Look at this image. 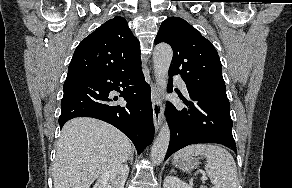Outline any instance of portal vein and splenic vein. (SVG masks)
Here are the masks:
<instances>
[{"label":"portal vein and splenic vein","mask_w":292,"mask_h":188,"mask_svg":"<svg viewBox=\"0 0 292 188\" xmlns=\"http://www.w3.org/2000/svg\"><path fill=\"white\" fill-rule=\"evenodd\" d=\"M206 179H207L206 176H203V177H202V181H205Z\"/></svg>","instance_id":"1"}]
</instances>
